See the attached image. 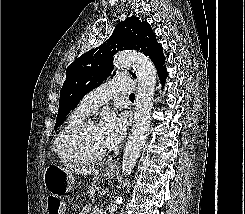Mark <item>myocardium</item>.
<instances>
[{"instance_id": "obj_1", "label": "myocardium", "mask_w": 245, "mask_h": 214, "mask_svg": "<svg viewBox=\"0 0 245 214\" xmlns=\"http://www.w3.org/2000/svg\"><path fill=\"white\" fill-rule=\"evenodd\" d=\"M91 125H96V123L91 119H84L71 130L66 140L67 151L79 162H98L107 155V151L98 155H89L83 150L81 146V137L83 132Z\"/></svg>"}]
</instances>
